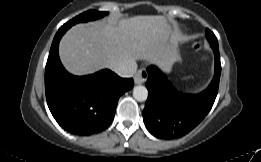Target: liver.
<instances>
[{"label": "liver", "mask_w": 261, "mask_h": 162, "mask_svg": "<svg viewBox=\"0 0 261 162\" xmlns=\"http://www.w3.org/2000/svg\"><path fill=\"white\" fill-rule=\"evenodd\" d=\"M177 39L163 16L140 15L78 24L62 38L59 55L74 75L145 60L165 68L176 59Z\"/></svg>", "instance_id": "liver-1"}]
</instances>
